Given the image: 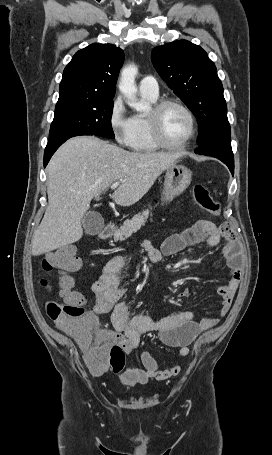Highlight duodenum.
Listing matches in <instances>:
<instances>
[{
	"instance_id": "1",
	"label": "duodenum",
	"mask_w": 272,
	"mask_h": 455,
	"mask_svg": "<svg viewBox=\"0 0 272 455\" xmlns=\"http://www.w3.org/2000/svg\"><path fill=\"white\" fill-rule=\"evenodd\" d=\"M114 232V225L112 223H108L105 225L100 232L98 233V237L100 239H106L110 237Z\"/></svg>"
}]
</instances>
